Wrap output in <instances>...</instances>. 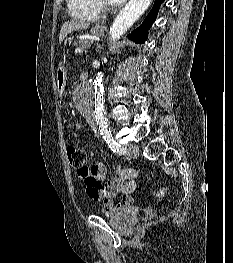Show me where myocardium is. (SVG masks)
<instances>
[{
    "mask_svg": "<svg viewBox=\"0 0 233 263\" xmlns=\"http://www.w3.org/2000/svg\"><path fill=\"white\" fill-rule=\"evenodd\" d=\"M95 3L97 7L103 11L112 10L114 7V5L108 0H95Z\"/></svg>",
    "mask_w": 233,
    "mask_h": 263,
    "instance_id": "1",
    "label": "myocardium"
}]
</instances>
